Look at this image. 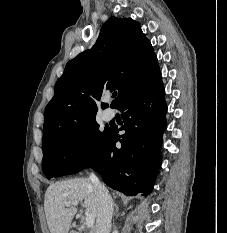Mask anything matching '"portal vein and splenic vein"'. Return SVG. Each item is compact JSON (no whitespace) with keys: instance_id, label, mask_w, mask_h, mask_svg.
I'll return each mask as SVG.
<instances>
[{"instance_id":"18ae733b","label":"portal vein and splenic vein","mask_w":227,"mask_h":233,"mask_svg":"<svg viewBox=\"0 0 227 233\" xmlns=\"http://www.w3.org/2000/svg\"><path fill=\"white\" fill-rule=\"evenodd\" d=\"M78 201H73V202H66L65 205L66 207L72 206V205H78ZM95 222V217L92 214L86 213V218H85V224L87 228H92Z\"/></svg>"}]
</instances>
